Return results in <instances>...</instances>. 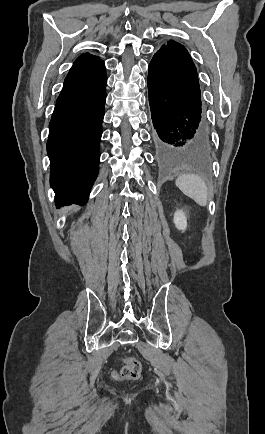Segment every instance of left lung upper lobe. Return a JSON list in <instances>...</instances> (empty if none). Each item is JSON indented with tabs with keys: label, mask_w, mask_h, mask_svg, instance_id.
Returning a JSON list of instances; mask_svg holds the SVG:
<instances>
[{
	"label": "left lung upper lobe",
	"mask_w": 265,
	"mask_h": 434,
	"mask_svg": "<svg viewBox=\"0 0 265 434\" xmlns=\"http://www.w3.org/2000/svg\"><path fill=\"white\" fill-rule=\"evenodd\" d=\"M156 54L162 55L172 62L185 74L189 81L200 90L197 69L183 45L170 40L166 45H163Z\"/></svg>",
	"instance_id": "left-lung-upper-lobe-1"
}]
</instances>
